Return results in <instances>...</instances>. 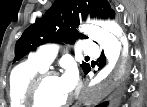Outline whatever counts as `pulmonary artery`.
<instances>
[{
    "instance_id": "obj_1",
    "label": "pulmonary artery",
    "mask_w": 147,
    "mask_h": 107,
    "mask_svg": "<svg viewBox=\"0 0 147 107\" xmlns=\"http://www.w3.org/2000/svg\"><path fill=\"white\" fill-rule=\"evenodd\" d=\"M81 52L92 57L98 56L99 48L96 44L85 41L79 44ZM57 47L55 45H47L38 53L33 54V60L44 67H48L54 60Z\"/></svg>"
}]
</instances>
